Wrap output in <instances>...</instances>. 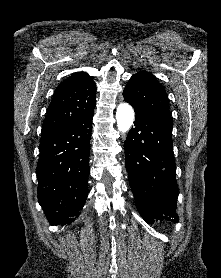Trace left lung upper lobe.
I'll list each match as a JSON object with an SVG mask.
<instances>
[{
	"label": "left lung upper lobe",
	"instance_id": "1",
	"mask_svg": "<svg viewBox=\"0 0 221 278\" xmlns=\"http://www.w3.org/2000/svg\"><path fill=\"white\" fill-rule=\"evenodd\" d=\"M135 114L145 117L171 116L166 91L150 72L133 75L123 91Z\"/></svg>",
	"mask_w": 221,
	"mask_h": 278
}]
</instances>
